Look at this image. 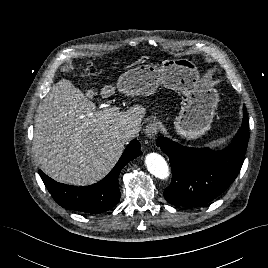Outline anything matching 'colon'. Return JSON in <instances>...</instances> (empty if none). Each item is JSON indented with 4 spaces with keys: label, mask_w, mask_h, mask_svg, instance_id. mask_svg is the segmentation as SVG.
<instances>
[{
    "label": "colon",
    "mask_w": 268,
    "mask_h": 268,
    "mask_svg": "<svg viewBox=\"0 0 268 268\" xmlns=\"http://www.w3.org/2000/svg\"><path fill=\"white\" fill-rule=\"evenodd\" d=\"M93 73V67L91 65H85L82 69V74L88 76Z\"/></svg>",
    "instance_id": "5ec220e1"
}]
</instances>
